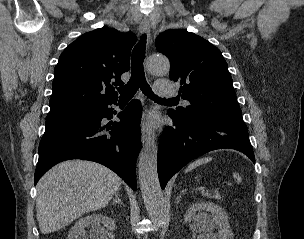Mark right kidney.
<instances>
[{"instance_id":"right-kidney-1","label":"right kidney","mask_w":304,"mask_h":239,"mask_svg":"<svg viewBox=\"0 0 304 239\" xmlns=\"http://www.w3.org/2000/svg\"><path fill=\"white\" fill-rule=\"evenodd\" d=\"M91 226L90 239H107L108 230L115 229V221L101 214H92L78 220L70 229L67 239H84L85 227Z\"/></svg>"}]
</instances>
